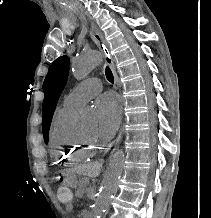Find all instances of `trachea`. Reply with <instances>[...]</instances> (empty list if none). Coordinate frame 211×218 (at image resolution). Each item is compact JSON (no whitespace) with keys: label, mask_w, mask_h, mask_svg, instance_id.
<instances>
[{"label":"trachea","mask_w":211,"mask_h":218,"mask_svg":"<svg viewBox=\"0 0 211 218\" xmlns=\"http://www.w3.org/2000/svg\"><path fill=\"white\" fill-rule=\"evenodd\" d=\"M105 75H106L107 80H108L110 83H114L113 73H112V71L110 70L109 67H106V69H105Z\"/></svg>","instance_id":"1"}]
</instances>
